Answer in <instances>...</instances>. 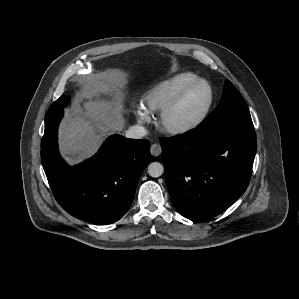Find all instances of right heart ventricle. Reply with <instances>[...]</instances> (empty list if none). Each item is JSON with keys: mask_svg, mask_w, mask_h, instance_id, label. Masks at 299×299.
Listing matches in <instances>:
<instances>
[{"mask_svg": "<svg viewBox=\"0 0 299 299\" xmlns=\"http://www.w3.org/2000/svg\"><path fill=\"white\" fill-rule=\"evenodd\" d=\"M197 79L194 73L182 72L157 83L143 95V109L148 113L159 112L184 86Z\"/></svg>", "mask_w": 299, "mask_h": 299, "instance_id": "1", "label": "right heart ventricle"}]
</instances>
